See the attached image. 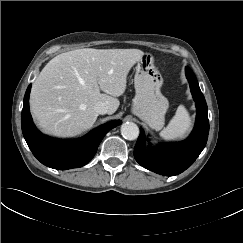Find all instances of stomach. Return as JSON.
<instances>
[{
	"instance_id": "1",
	"label": "stomach",
	"mask_w": 243,
	"mask_h": 243,
	"mask_svg": "<svg viewBox=\"0 0 243 243\" xmlns=\"http://www.w3.org/2000/svg\"><path fill=\"white\" fill-rule=\"evenodd\" d=\"M163 78L154 66V58L144 53L137 62L134 77L136 95L132 103V113L147 123L152 129L160 130L169 103L161 93Z\"/></svg>"
}]
</instances>
